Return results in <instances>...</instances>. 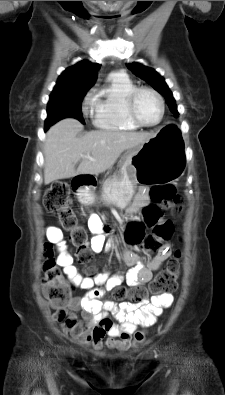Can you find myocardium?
I'll return each mask as SVG.
<instances>
[{
	"label": "myocardium",
	"instance_id": "f54148a6",
	"mask_svg": "<svg viewBox=\"0 0 225 395\" xmlns=\"http://www.w3.org/2000/svg\"><path fill=\"white\" fill-rule=\"evenodd\" d=\"M143 92H148L150 94H152L158 101L159 105H160V116L157 122L153 123V124H147L144 123L143 121L140 120V118L138 117L137 113H136V101L138 96L143 93ZM125 107H126V113L128 118L137 126L139 127H144V128H152V127H156L158 126L165 115V102L163 97L161 96V94L156 91L155 89L151 88V87H147V86H141V87H135L127 96L126 98V103H125Z\"/></svg>",
	"mask_w": 225,
	"mask_h": 395
}]
</instances>
